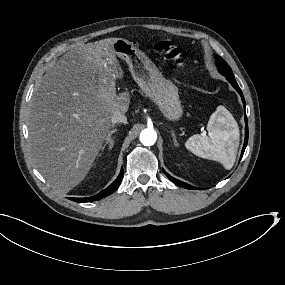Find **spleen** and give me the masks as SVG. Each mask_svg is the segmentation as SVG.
<instances>
[{
    "mask_svg": "<svg viewBox=\"0 0 285 285\" xmlns=\"http://www.w3.org/2000/svg\"><path fill=\"white\" fill-rule=\"evenodd\" d=\"M226 126L227 130L221 129ZM231 123L218 111L211 114L207 131L208 137L193 135L185 142V148L197 157L219 162L225 170H229L235 159L238 133L230 128Z\"/></svg>",
    "mask_w": 285,
    "mask_h": 285,
    "instance_id": "spleen-1",
    "label": "spleen"
}]
</instances>
